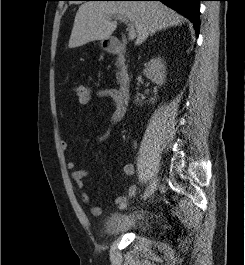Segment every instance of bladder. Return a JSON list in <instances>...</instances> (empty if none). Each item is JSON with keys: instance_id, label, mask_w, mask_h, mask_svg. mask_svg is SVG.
I'll return each instance as SVG.
<instances>
[{"instance_id": "1", "label": "bladder", "mask_w": 245, "mask_h": 265, "mask_svg": "<svg viewBox=\"0 0 245 265\" xmlns=\"http://www.w3.org/2000/svg\"><path fill=\"white\" fill-rule=\"evenodd\" d=\"M151 222L145 213L111 212L107 214L103 222V233L115 235L130 231H145L150 228Z\"/></svg>"}]
</instances>
